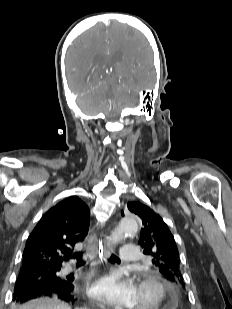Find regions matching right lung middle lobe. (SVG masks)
<instances>
[{"label":"right lung middle lobe","instance_id":"1","mask_svg":"<svg viewBox=\"0 0 232 309\" xmlns=\"http://www.w3.org/2000/svg\"><path fill=\"white\" fill-rule=\"evenodd\" d=\"M58 271H51V272H46L40 276H37L33 273L31 274H22L20 273L18 278H24L27 281L31 282H39L43 284H51L54 282H57L58 280L62 279L61 277L58 276L57 274Z\"/></svg>","mask_w":232,"mask_h":309}]
</instances>
